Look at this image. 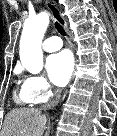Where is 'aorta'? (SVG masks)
<instances>
[{"mask_svg": "<svg viewBox=\"0 0 117 136\" xmlns=\"http://www.w3.org/2000/svg\"><path fill=\"white\" fill-rule=\"evenodd\" d=\"M48 25L49 15L46 12L29 17L24 23L20 40V60L30 73L37 74L43 68L41 45Z\"/></svg>", "mask_w": 117, "mask_h": 136, "instance_id": "obj_1", "label": "aorta"}]
</instances>
